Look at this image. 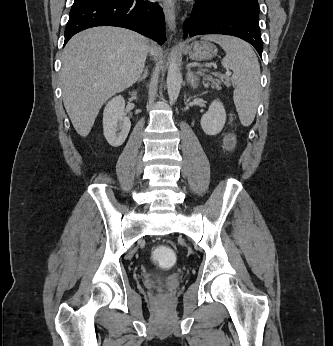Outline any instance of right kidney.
<instances>
[{"mask_svg": "<svg viewBox=\"0 0 333 346\" xmlns=\"http://www.w3.org/2000/svg\"><path fill=\"white\" fill-rule=\"evenodd\" d=\"M137 93L132 92V96ZM125 100L119 95L111 99L103 112V131L107 142L113 147H119L126 140L131 122L125 116Z\"/></svg>", "mask_w": 333, "mask_h": 346, "instance_id": "obj_1", "label": "right kidney"}]
</instances>
